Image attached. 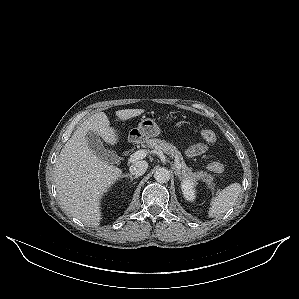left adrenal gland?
<instances>
[{"instance_id":"obj_1","label":"left adrenal gland","mask_w":299,"mask_h":299,"mask_svg":"<svg viewBox=\"0 0 299 299\" xmlns=\"http://www.w3.org/2000/svg\"><path fill=\"white\" fill-rule=\"evenodd\" d=\"M175 175H176L179 179L182 178L180 171H178L177 169H175Z\"/></svg>"}]
</instances>
